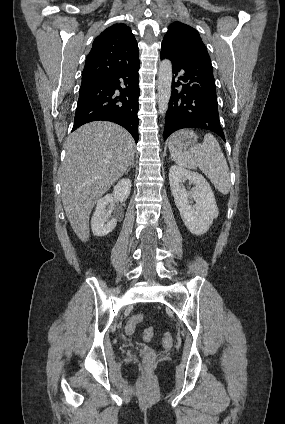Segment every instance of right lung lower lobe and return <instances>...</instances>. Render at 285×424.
I'll return each instance as SVG.
<instances>
[{
	"label": "right lung lower lobe",
	"instance_id": "obj_1",
	"mask_svg": "<svg viewBox=\"0 0 285 424\" xmlns=\"http://www.w3.org/2000/svg\"><path fill=\"white\" fill-rule=\"evenodd\" d=\"M139 67L140 62L104 77L82 81L72 131L88 122L111 121L127 129L137 143Z\"/></svg>",
	"mask_w": 285,
	"mask_h": 424
}]
</instances>
